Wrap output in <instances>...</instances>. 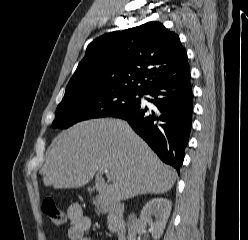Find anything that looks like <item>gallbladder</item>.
Segmentation results:
<instances>
[{"mask_svg":"<svg viewBox=\"0 0 248 240\" xmlns=\"http://www.w3.org/2000/svg\"><path fill=\"white\" fill-rule=\"evenodd\" d=\"M88 191H89V192H91V191H92V189H91V188H88Z\"/></svg>","mask_w":248,"mask_h":240,"instance_id":"bac80fb5","label":"gallbladder"}]
</instances>
